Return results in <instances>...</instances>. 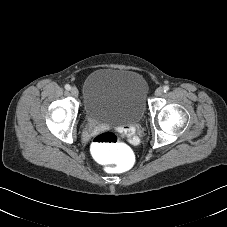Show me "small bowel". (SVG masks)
<instances>
[{
  "mask_svg": "<svg viewBox=\"0 0 227 227\" xmlns=\"http://www.w3.org/2000/svg\"><path fill=\"white\" fill-rule=\"evenodd\" d=\"M130 138H131V140H133V141L136 140V138H135L134 136H131Z\"/></svg>",
  "mask_w": 227,
  "mask_h": 227,
  "instance_id": "c3829d8e",
  "label": "small bowel"
}]
</instances>
